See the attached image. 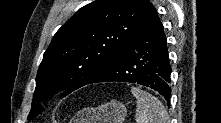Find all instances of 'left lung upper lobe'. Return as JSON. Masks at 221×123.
I'll list each match as a JSON object with an SVG mask.
<instances>
[{
  "label": "left lung upper lobe",
  "mask_w": 221,
  "mask_h": 123,
  "mask_svg": "<svg viewBox=\"0 0 221 123\" xmlns=\"http://www.w3.org/2000/svg\"><path fill=\"white\" fill-rule=\"evenodd\" d=\"M149 0H96L71 17L43 55L28 119L43 111L41 100L86 85L118 57L155 18Z\"/></svg>",
  "instance_id": "left-lung-upper-lobe-1"
}]
</instances>
